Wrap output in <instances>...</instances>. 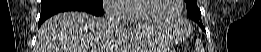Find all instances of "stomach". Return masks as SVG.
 I'll use <instances>...</instances> for the list:
<instances>
[{
    "instance_id": "stomach-1",
    "label": "stomach",
    "mask_w": 261,
    "mask_h": 52,
    "mask_svg": "<svg viewBox=\"0 0 261 52\" xmlns=\"http://www.w3.org/2000/svg\"><path fill=\"white\" fill-rule=\"evenodd\" d=\"M149 30L156 31L149 36L147 43L145 44V52H169L168 47L162 43V36L159 34L158 29L146 26Z\"/></svg>"
}]
</instances>
